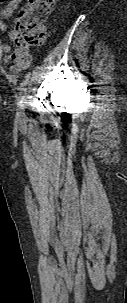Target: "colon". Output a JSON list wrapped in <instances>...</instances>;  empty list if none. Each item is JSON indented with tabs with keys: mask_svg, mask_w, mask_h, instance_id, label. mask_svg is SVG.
<instances>
[{
	"mask_svg": "<svg viewBox=\"0 0 127 303\" xmlns=\"http://www.w3.org/2000/svg\"><path fill=\"white\" fill-rule=\"evenodd\" d=\"M56 0H28L18 14L12 33L14 43L20 48L37 47L46 40V20Z\"/></svg>",
	"mask_w": 127,
	"mask_h": 303,
	"instance_id": "1",
	"label": "colon"
}]
</instances>
